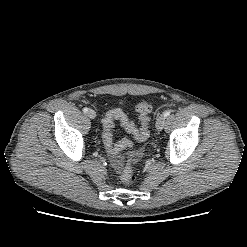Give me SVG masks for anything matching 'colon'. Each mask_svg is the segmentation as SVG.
Returning a JSON list of instances; mask_svg holds the SVG:
<instances>
[{
	"label": "colon",
	"mask_w": 247,
	"mask_h": 247,
	"mask_svg": "<svg viewBox=\"0 0 247 247\" xmlns=\"http://www.w3.org/2000/svg\"><path fill=\"white\" fill-rule=\"evenodd\" d=\"M152 107L147 101H141L136 106V112L141 122L140 128H136L134 123L130 121L125 112L120 108L110 110L104 117L103 124V140L105 146L112 155H118L124 148H129L132 142L128 136H125L119 143L113 142L112 129L114 127L115 120L119 121L126 133L133 135L139 141H145L148 139L150 132L148 129L149 115ZM136 160V155L130 153L125 159L124 166L121 170V181L125 185H133L137 182V174L133 169V164Z\"/></svg>",
	"instance_id": "1"
}]
</instances>
